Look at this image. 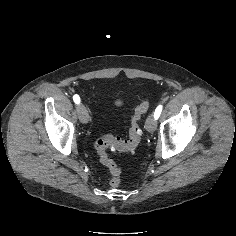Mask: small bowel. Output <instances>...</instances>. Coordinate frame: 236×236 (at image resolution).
Instances as JSON below:
<instances>
[{
	"mask_svg": "<svg viewBox=\"0 0 236 236\" xmlns=\"http://www.w3.org/2000/svg\"><path fill=\"white\" fill-rule=\"evenodd\" d=\"M115 104H116L117 106H120V105L122 104V102H121L120 100H116V101H115Z\"/></svg>",
	"mask_w": 236,
	"mask_h": 236,
	"instance_id": "obj_1",
	"label": "small bowel"
}]
</instances>
